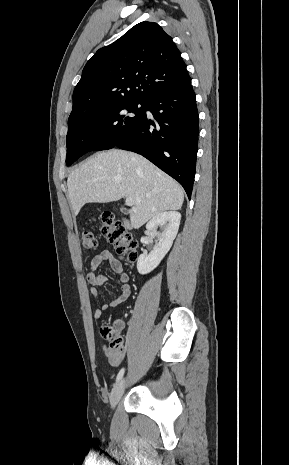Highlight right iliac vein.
Instances as JSON below:
<instances>
[{
  "label": "right iliac vein",
  "mask_w": 289,
  "mask_h": 465,
  "mask_svg": "<svg viewBox=\"0 0 289 465\" xmlns=\"http://www.w3.org/2000/svg\"><path fill=\"white\" fill-rule=\"evenodd\" d=\"M125 379L120 380L112 389L111 395H110V405L111 408H115L119 400L121 399L124 388H125Z\"/></svg>",
  "instance_id": "obj_1"
}]
</instances>
